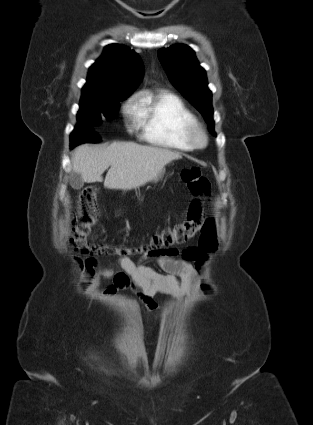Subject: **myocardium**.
Listing matches in <instances>:
<instances>
[{
    "mask_svg": "<svg viewBox=\"0 0 313 425\" xmlns=\"http://www.w3.org/2000/svg\"><path fill=\"white\" fill-rule=\"evenodd\" d=\"M187 137L194 148H203L208 142L205 129L198 123L189 127Z\"/></svg>",
    "mask_w": 313,
    "mask_h": 425,
    "instance_id": "f54148a6",
    "label": "myocardium"
}]
</instances>
